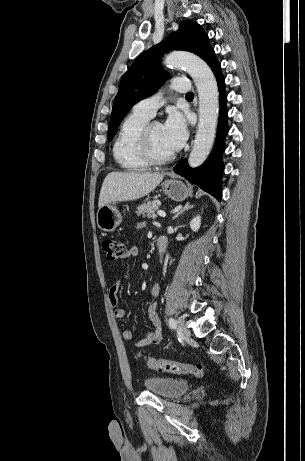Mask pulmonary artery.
I'll use <instances>...</instances> for the list:
<instances>
[{
  "label": "pulmonary artery",
  "instance_id": "e3ab8cb5",
  "mask_svg": "<svg viewBox=\"0 0 305 461\" xmlns=\"http://www.w3.org/2000/svg\"><path fill=\"white\" fill-rule=\"evenodd\" d=\"M171 89L176 92L185 93L189 91L188 80L185 78H175L171 84ZM164 103L161 93H157L148 98L139 101L134 106V111L146 115L149 118L154 117L157 109Z\"/></svg>",
  "mask_w": 305,
  "mask_h": 461
}]
</instances>
